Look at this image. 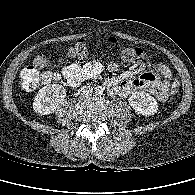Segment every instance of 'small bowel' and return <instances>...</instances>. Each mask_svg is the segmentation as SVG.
I'll use <instances>...</instances> for the list:
<instances>
[{
  "mask_svg": "<svg viewBox=\"0 0 195 195\" xmlns=\"http://www.w3.org/2000/svg\"><path fill=\"white\" fill-rule=\"evenodd\" d=\"M145 63L135 67L120 76H112L105 81V86L111 94L127 96L135 91L144 90L156 97L159 101L168 98V87L172 79V72L164 64H157L158 75L148 71L149 55L147 52L141 58ZM103 64L99 61H86L83 64L72 62L61 68V75L67 84L76 88L83 82L96 78L103 71ZM120 69L118 63L108 65L111 73Z\"/></svg>",
  "mask_w": 195,
  "mask_h": 195,
  "instance_id": "1",
  "label": "small bowel"
}]
</instances>
